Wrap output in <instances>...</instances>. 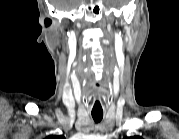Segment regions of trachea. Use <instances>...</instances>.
Here are the masks:
<instances>
[{
	"label": "trachea",
	"instance_id": "1",
	"mask_svg": "<svg viewBox=\"0 0 179 139\" xmlns=\"http://www.w3.org/2000/svg\"><path fill=\"white\" fill-rule=\"evenodd\" d=\"M92 117H93V120L98 123L102 120L103 118V112H92L91 113Z\"/></svg>",
	"mask_w": 179,
	"mask_h": 139
}]
</instances>
